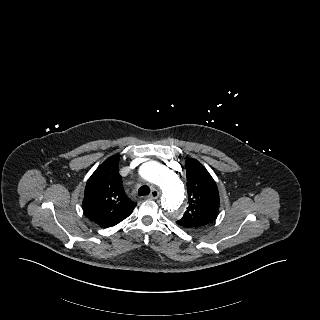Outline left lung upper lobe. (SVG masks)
I'll list each match as a JSON object with an SVG mask.
<instances>
[{
    "label": "left lung upper lobe",
    "instance_id": "5c2ea615",
    "mask_svg": "<svg viewBox=\"0 0 320 320\" xmlns=\"http://www.w3.org/2000/svg\"><path fill=\"white\" fill-rule=\"evenodd\" d=\"M188 207L176 223L188 230H194L211 223L219 211L218 188L206 170L195 159L186 160Z\"/></svg>",
    "mask_w": 320,
    "mask_h": 320
}]
</instances>
